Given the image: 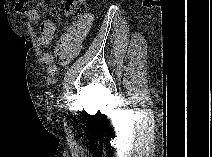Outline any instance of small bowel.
I'll return each instance as SVG.
<instances>
[{
    "label": "small bowel",
    "instance_id": "obj_1",
    "mask_svg": "<svg viewBox=\"0 0 212 157\" xmlns=\"http://www.w3.org/2000/svg\"><path fill=\"white\" fill-rule=\"evenodd\" d=\"M28 0H16L15 10L17 13L24 14L27 19L31 21L40 22V36L38 43L41 46H48L52 43L55 36V24L50 20H42L41 14L34 9H26ZM93 22L91 14H85L75 24L67 28L65 31L60 33L57 38L54 52L43 53L42 62L47 66V75L49 82H54L57 77V66L55 59L61 65H67L71 62L74 56L80 50L81 42L90 30ZM70 34H76V37L67 38Z\"/></svg>",
    "mask_w": 212,
    "mask_h": 157
}]
</instances>
